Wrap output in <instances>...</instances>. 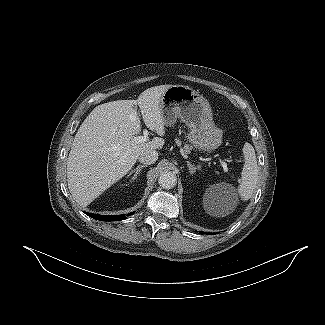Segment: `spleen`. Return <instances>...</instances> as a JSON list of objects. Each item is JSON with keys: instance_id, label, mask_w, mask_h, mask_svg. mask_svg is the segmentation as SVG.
<instances>
[{"instance_id": "spleen-1", "label": "spleen", "mask_w": 325, "mask_h": 325, "mask_svg": "<svg viewBox=\"0 0 325 325\" xmlns=\"http://www.w3.org/2000/svg\"><path fill=\"white\" fill-rule=\"evenodd\" d=\"M244 167L241 172V183L238 187V193L242 200L251 198L258 181V165L253 146L245 143L243 147Z\"/></svg>"}]
</instances>
